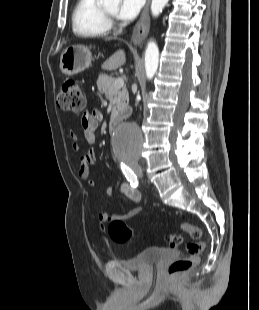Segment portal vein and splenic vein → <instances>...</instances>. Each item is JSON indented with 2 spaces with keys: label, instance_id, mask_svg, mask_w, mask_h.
Listing matches in <instances>:
<instances>
[{
  "label": "portal vein and splenic vein",
  "instance_id": "1",
  "mask_svg": "<svg viewBox=\"0 0 259 310\" xmlns=\"http://www.w3.org/2000/svg\"><path fill=\"white\" fill-rule=\"evenodd\" d=\"M124 86V79L122 77H118L114 80V88L121 89Z\"/></svg>",
  "mask_w": 259,
  "mask_h": 310
}]
</instances>
